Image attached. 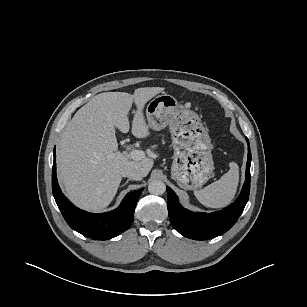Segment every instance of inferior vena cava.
<instances>
[{
    "instance_id": "obj_1",
    "label": "inferior vena cava",
    "mask_w": 307,
    "mask_h": 307,
    "mask_svg": "<svg viewBox=\"0 0 307 307\" xmlns=\"http://www.w3.org/2000/svg\"><path fill=\"white\" fill-rule=\"evenodd\" d=\"M121 175L123 177H128L130 179H133V180H141L143 178V175L142 173L135 169V168H132V167H128V168H125L121 171Z\"/></svg>"
}]
</instances>
